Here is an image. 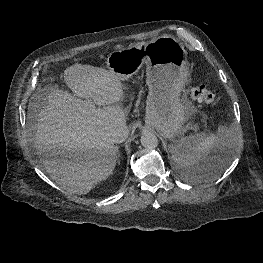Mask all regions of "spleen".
I'll list each match as a JSON object with an SVG mask.
<instances>
[{
	"label": "spleen",
	"instance_id": "3e777b00",
	"mask_svg": "<svg viewBox=\"0 0 263 263\" xmlns=\"http://www.w3.org/2000/svg\"><path fill=\"white\" fill-rule=\"evenodd\" d=\"M239 141L240 134L235 127L220 126L216 134L207 135L202 132L176 140V143L171 145L172 159L186 173V177L193 182L202 179H217L229 165ZM214 147L220 148L223 153L219 159L218 171L209 177L190 174L194 166L204 159Z\"/></svg>",
	"mask_w": 263,
	"mask_h": 263
}]
</instances>
